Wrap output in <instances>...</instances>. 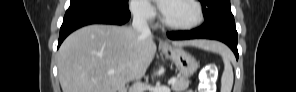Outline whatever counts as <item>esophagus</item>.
<instances>
[{
  "mask_svg": "<svg viewBox=\"0 0 296 92\" xmlns=\"http://www.w3.org/2000/svg\"><path fill=\"white\" fill-rule=\"evenodd\" d=\"M161 45L162 46H167V43L166 42H161Z\"/></svg>",
  "mask_w": 296,
  "mask_h": 92,
  "instance_id": "esophagus-1",
  "label": "esophagus"
}]
</instances>
